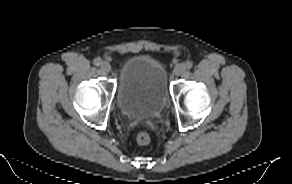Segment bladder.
Segmentation results:
<instances>
[{
    "label": "bladder",
    "instance_id": "1",
    "mask_svg": "<svg viewBox=\"0 0 292 184\" xmlns=\"http://www.w3.org/2000/svg\"><path fill=\"white\" fill-rule=\"evenodd\" d=\"M169 101L168 76L155 58L135 55L122 64L117 86V104L130 118H155Z\"/></svg>",
    "mask_w": 292,
    "mask_h": 184
}]
</instances>
